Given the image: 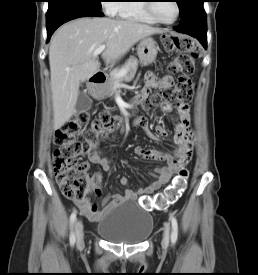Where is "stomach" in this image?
Wrapping results in <instances>:
<instances>
[{"label": "stomach", "instance_id": "1", "mask_svg": "<svg viewBox=\"0 0 258 275\" xmlns=\"http://www.w3.org/2000/svg\"><path fill=\"white\" fill-rule=\"evenodd\" d=\"M159 50V46L152 37H145L141 40L137 48V54L141 64H152ZM106 95L105 85H99L93 90V96L95 98H102Z\"/></svg>", "mask_w": 258, "mask_h": 275}]
</instances>
